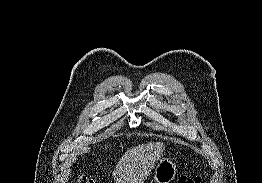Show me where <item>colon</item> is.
<instances>
[{
	"label": "colon",
	"instance_id": "colon-1",
	"mask_svg": "<svg viewBox=\"0 0 262 183\" xmlns=\"http://www.w3.org/2000/svg\"><path fill=\"white\" fill-rule=\"evenodd\" d=\"M77 183H95L92 179L87 177H79ZM178 183H201L200 177L182 176Z\"/></svg>",
	"mask_w": 262,
	"mask_h": 183
}]
</instances>
